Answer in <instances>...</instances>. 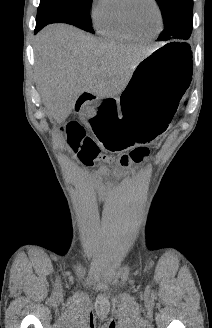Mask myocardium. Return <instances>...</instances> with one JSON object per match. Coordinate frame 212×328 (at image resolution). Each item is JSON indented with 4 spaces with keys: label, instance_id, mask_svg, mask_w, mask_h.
<instances>
[{
    "label": "myocardium",
    "instance_id": "1",
    "mask_svg": "<svg viewBox=\"0 0 212 328\" xmlns=\"http://www.w3.org/2000/svg\"><path fill=\"white\" fill-rule=\"evenodd\" d=\"M136 0H125V4H124V17L126 20V23L128 24V26L137 34H141L142 30L136 25V23L134 22L133 16H132V7L133 4L135 3ZM150 2L154 5L158 16H159V27L158 29L155 31V33H159L163 27L164 24V17H163V13L161 10V7L158 3L157 0H150Z\"/></svg>",
    "mask_w": 212,
    "mask_h": 328
}]
</instances>
